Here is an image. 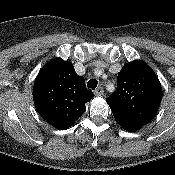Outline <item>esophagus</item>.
<instances>
[{
    "mask_svg": "<svg viewBox=\"0 0 175 175\" xmlns=\"http://www.w3.org/2000/svg\"><path fill=\"white\" fill-rule=\"evenodd\" d=\"M94 93H95V95H97V96H101V95H103L104 90H103V88H102L101 86H99V87L94 91Z\"/></svg>",
    "mask_w": 175,
    "mask_h": 175,
    "instance_id": "esophagus-1",
    "label": "esophagus"
}]
</instances>
